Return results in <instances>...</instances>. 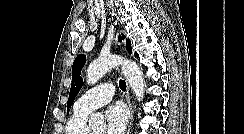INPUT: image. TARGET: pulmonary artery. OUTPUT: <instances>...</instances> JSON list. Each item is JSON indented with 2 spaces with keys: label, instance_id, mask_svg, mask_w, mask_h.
I'll return each instance as SVG.
<instances>
[{
  "label": "pulmonary artery",
  "instance_id": "pulmonary-artery-1",
  "mask_svg": "<svg viewBox=\"0 0 244 134\" xmlns=\"http://www.w3.org/2000/svg\"><path fill=\"white\" fill-rule=\"evenodd\" d=\"M114 87L110 83L100 84L86 91L75 103V109L90 113L111 101Z\"/></svg>",
  "mask_w": 244,
  "mask_h": 134
}]
</instances>
